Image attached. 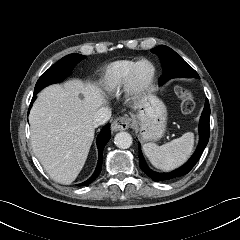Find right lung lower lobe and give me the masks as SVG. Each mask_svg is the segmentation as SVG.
<instances>
[{
	"label": "right lung lower lobe",
	"instance_id": "1",
	"mask_svg": "<svg viewBox=\"0 0 240 240\" xmlns=\"http://www.w3.org/2000/svg\"><path fill=\"white\" fill-rule=\"evenodd\" d=\"M37 93H34V97H33V101L35 100L36 98V95ZM32 106V102L30 104V107ZM111 137V132H110V124H107L100 132L98 138H97V147H98V155H99V158H98V164H97V167H96V170L95 172L93 173V175L85 182L83 183H80L78 184V186H85V185H88L90 183H92L97 177L98 175L100 174L101 172V167H102V161H103V149H104V146L106 145V143L109 141Z\"/></svg>",
	"mask_w": 240,
	"mask_h": 240
}]
</instances>
